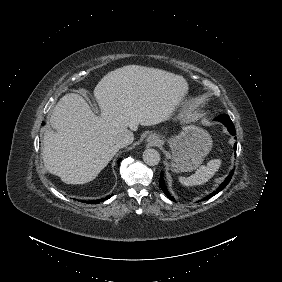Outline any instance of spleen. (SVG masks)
<instances>
[{
	"instance_id": "3e777b00",
	"label": "spleen",
	"mask_w": 282,
	"mask_h": 282,
	"mask_svg": "<svg viewBox=\"0 0 282 282\" xmlns=\"http://www.w3.org/2000/svg\"><path fill=\"white\" fill-rule=\"evenodd\" d=\"M221 166L220 159L210 160L206 166L201 165L194 174L189 177H179V182L184 186L203 185L208 182Z\"/></svg>"
}]
</instances>
